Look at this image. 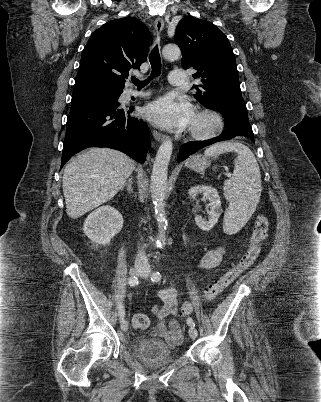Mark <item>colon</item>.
Wrapping results in <instances>:
<instances>
[{
	"mask_svg": "<svg viewBox=\"0 0 321 402\" xmlns=\"http://www.w3.org/2000/svg\"><path fill=\"white\" fill-rule=\"evenodd\" d=\"M268 231L269 220L265 215H260L254 224L245 252L226 273L204 291L203 299L205 301L209 302L217 298L255 263L260 255L261 244L267 237ZM194 307V302L185 301L181 306L180 315L182 317L188 316L192 313ZM132 323L135 329L145 330L149 326V319L145 314L136 313L132 317Z\"/></svg>",
	"mask_w": 321,
	"mask_h": 402,
	"instance_id": "5ec220e1",
	"label": "colon"
}]
</instances>
